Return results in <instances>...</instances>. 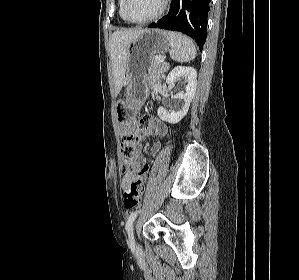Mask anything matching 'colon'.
<instances>
[{
  "mask_svg": "<svg viewBox=\"0 0 299 280\" xmlns=\"http://www.w3.org/2000/svg\"><path fill=\"white\" fill-rule=\"evenodd\" d=\"M151 118L147 115L140 117L136 125H132L130 135L125 136L122 140L121 155L123 160V167L130 166L137 143V137L141 136V133H146V127L149 125ZM149 170L148 165H144L140 168V176L144 177ZM144 193V187L140 181L133 182L127 190L124 192V205L128 209L136 207L142 200Z\"/></svg>",
  "mask_w": 299,
  "mask_h": 280,
  "instance_id": "5ec220e1",
  "label": "colon"
}]
</instances>
